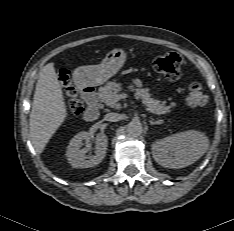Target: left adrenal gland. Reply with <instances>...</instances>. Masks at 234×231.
<instances>
[{"instance_id": "1", "label": "left adrenal gland", "mask_w": 234, "mask_h": 231, "mask_svg": "<svg viewBox=\"0 0 234 231\" xmlns=\"http://www.w3.org/2000/svg\"><path fill=\"white\" fill-rule=\"evenodd\" d=\"M149 122H150L151 125H156V124H162L163 123L161 120H159V121H153V119L150 120Z\"/></svg>"}]
</instances>
